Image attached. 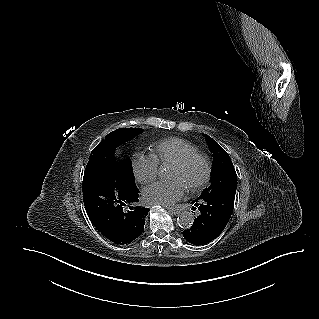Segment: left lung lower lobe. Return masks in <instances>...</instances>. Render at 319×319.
Returning <instances> with one entry per match:
<instances>
[{
	"instance_id": "0a47b994",
	"label": "left lung lower lobe",
	"mask_w": 319,
	"mask_h": 319,
	"mask_svg": "<svg viewBox=\"0 0 319 319\" xmlns=\"http://www.w3.org/2000/svg\"><path fill=\"white\" fill-rule=\"evenodd\" d=\"M236 190H227L197 198L192 209L200 211L191 228L183 231L184 238L194 245L214 240L227 225L234 208Z\"/></svg>"
}]
</instances>
